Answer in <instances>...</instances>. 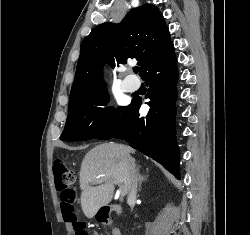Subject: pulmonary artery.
Segmentation results:
<instances>
[{"mask_svg":"<svg viewBox=\"0 0 250 235\" xmlns=\"http://www.w3.org/2000/svg\"><path fill=\"white\" fill-rule=\"evenodd\" d=\"M123 85L127 91L134 92L139 88L140 83L139 81H131L130 78H125Z\"/></svg>","mask_w":250,"mask_h":235,"instance_id":"e3ab8cb5","label":"pulmonary artery"}]
</instances>
